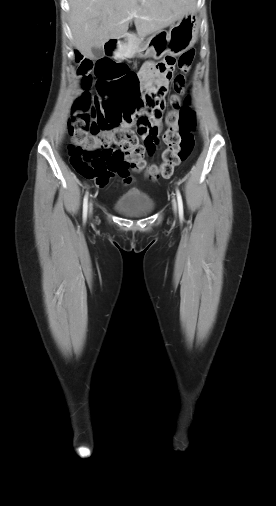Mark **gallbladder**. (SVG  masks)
Segmentation results:
<instances>
[{
    "label": "gallbladder",
    "mask_w": 276,
    "mask_h": 506,
    "mask_svg": "<svg viewBox=\"0 0 276 506\" xmlns=\"http://www.w3.org/2000/svg\"><path fill=\"white\" fill-rule=\"evenodd\" d=\"M92 53H93L94 58H96V59H100L104 55L103 50L100 47H93Z\"/></svg>",
    "instance_id": "1"
}]
</instances>
